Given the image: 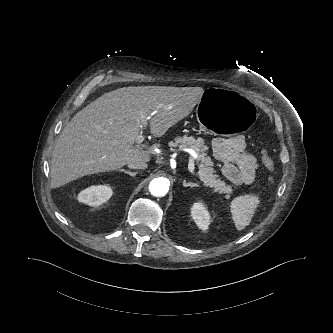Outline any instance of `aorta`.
Returning <instances> with one entry per match:
<instances>
[{"instance_id": "obj_1", "label": "aorta", "mask_w": 333, "mask_h": 333, "mask_svg": "<svg viewBox=\"0 0 333 333\" xmlns=\"http://www.w3.org/2000/svg\"><path fill=\"white\" fill-rule=\"evenodd\" d=\"M149 191L155 197L165 196L169 191V181L166 178H154L149 184Z\"/></svg>"}]
</instances>
